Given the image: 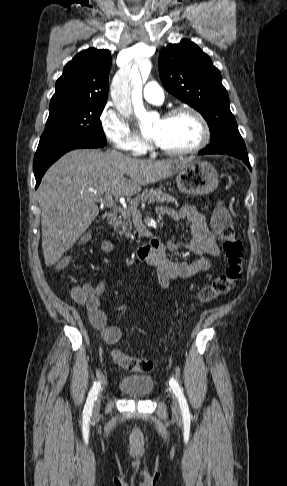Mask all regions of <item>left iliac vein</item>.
Returning a JSON list of instances; mask_svg holds the SVG:
<instances>
[{
  "mask_svg": "<svg viewBox=\"0 0 287 486\" xmlns=\"http://www.w3.org/2000/svg\"><path fill=\"white\" fill-rule=\"evenodd\" d=\"M172 413L177 419L181 417V408L176 396L172 395Z\"/></svg>",
  "mask_w": 287,
  "mask_h": 486,
  "instance_id": "4c4485c4",
  "label": "left iliac vein"
}]
</instances>
